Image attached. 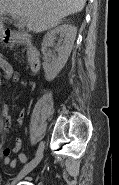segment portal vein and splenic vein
I'll return each mask as SVG.
<instances>
[{"label": "portal vein and splenic vein", "instance_id": "1", "mask_svg": "<svg viewBox=\"0 0 119 185\" xmlns=\"http://www.w3.org/2000/svg\"><path fill=\"white\" fill-rule=\"evenodd\" d=\"M0 15H2V14H0ZM11 17H12L15 21H17V26H18L19 28L25 27L26 22L24 21V19H20L19 16L14 15V14H11Z\"/></svg>", "mask_w": 119, "mask_h": 185}]
</instances>
